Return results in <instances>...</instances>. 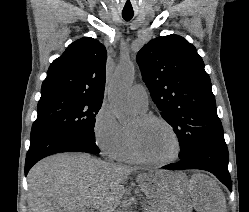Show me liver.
I'll return each mask as SVG.
<instances>
[{
	"mask_svg": "<svg viewBox=\"0 0 249 212\" xmlns=\"http://www.w3.org/2000/svg\"><path fill=\"white\" fill-rule=\"evenodd\" d=\"M135 168L95 160L90 154H55L40 160L28 176L30 212H114L124 194L125 182ZM146 198L158 212L169 208L174 194L178 202L192 198L196 212H227L225 196L215 180L205 174H172L167 170L138 174ZM188 206V202H185ZM179 212H186L182 206Z\"/></svg>",
	"mask_w": 249,
	"mask_h": 212,
	"instance_id": "liver-1",
	"label": "liver"
}]
</instances>
